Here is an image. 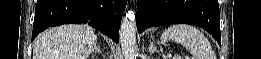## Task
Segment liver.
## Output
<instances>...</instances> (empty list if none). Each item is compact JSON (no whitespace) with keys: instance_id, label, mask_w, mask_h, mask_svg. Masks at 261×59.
Returning <instances> with one entry per match:
<instances>
[{"instance_id":"liver-1","label":"liver","mask_w":261,"mask_h":59,"mask_svg":"<svg viewBox=\"0 0 261 59\" xmlns=\"http://www.w3.org/2000/svg\"><path fill=\"white\" fill-rule=\"evenodd\" d=\"M96 35L88 25H63L46 30L34 41L33 59H87Z\"/></svg>"}]
</instances>
